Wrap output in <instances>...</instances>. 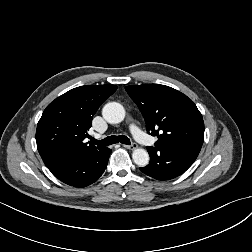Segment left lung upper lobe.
Masks as SVG:
<instances>
[{"instance_id":"obj_1","label":"left lung upper lobe","mask_w":252,"mask_h":252,"mask_svg":"<svg viewBox=\"0 0 252 252\" xmlns=\"http://www.w3.org/2000/svg\"><path fill=\"white\" fill-rule=\"evenodd\" d=\"M137 104L147 132L157 136V149H182L199 154L204 122L196 105L183 93L160 84L127 86Z\"/></svg>"}]
</instances>
